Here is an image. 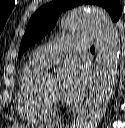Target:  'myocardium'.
Instances as JSON below:
<instances>
[{"label":"myocardium","mask_w":125,"mask_h":128,"mask_svg":"<svg viewBox=\"0 0 125 128\" xmlns=\"http://www.w3.org/2000/svg\"><path fill=\"white\" fill-rule=\"evenodd\" d=\"M40 95L45 105L53 112L58 111L61 108V103L59 100L46 94L42 87H40Z\"/></svg>","instance_id":"obj_1"}]
</instances>
